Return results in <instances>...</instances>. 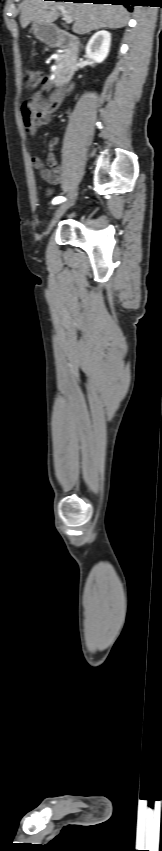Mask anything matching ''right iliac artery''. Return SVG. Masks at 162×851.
Segmentation results:
<instances>
[{"label":"right iliac artery","mask_w":162,"mask_h":851,"mask_svg":"<svg viewBox=\"0 0 162 851\" xmlns=\"http://www.w3.org/2000/svg\"><path fill=\"white\" fill-rule=\"evenodd\" d=\"M65 200H66V199H65L64 197H62V196H58V197H55V198L53 199L52 203H53V204H58V203H61V202L65 201Z\"/></svg>","instance_id":"right-iliac-artery-1"}]
</instances>
